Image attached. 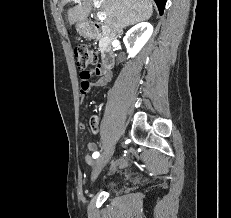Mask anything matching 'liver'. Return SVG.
<instances>
[{"mask_svg":"<svg viewBox=\"0 0 231 218\" xmlns=\"http://www.w3.org/2000/svg\"><path fill=\"white\" fill-rule=\"evenodd\" d=\"M94 0H62V5L75 2L77 5L67 12L69 24L85 21L92 9ZM101 13L106 15L104 27L112 34L122 32L123 28L148 20L153 13L152 0H99Z\"/></svg>","mask_w":231,"mask_h":218,"instance_id":"obj_1","label":"liver"}]
</instances>
